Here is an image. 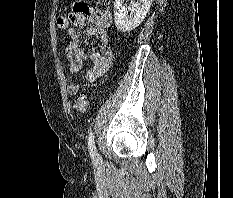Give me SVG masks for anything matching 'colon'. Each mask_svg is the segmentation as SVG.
Listing matches in <instances>:
<instances>
[{"label":"colon","instance_id":"obj_1","mask_svg":"<svg viewBox=\"0 0 233 198\" xmlns=\"http://www.w3.org/2000/svg\"><path fill=\"white\" fill-rule=\"evenodd\" d=\"M57 26L59 29H66L68 27V19L65 16L59 17L57 19ZM75 108L80 113H85L88 110V101L85 92H82L78 96L75 102Z\"/></svg>","mask_w":233,"mask_h":198}]
</instances>
